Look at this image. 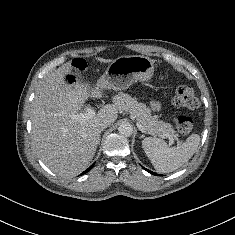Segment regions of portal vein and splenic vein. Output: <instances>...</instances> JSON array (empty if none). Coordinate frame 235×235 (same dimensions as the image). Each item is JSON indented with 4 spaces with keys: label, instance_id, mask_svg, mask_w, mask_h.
I'll list each match as a JSON object with an SVG mask.
<instances>
[{
    "label": "portal vein and splenic vein",
    "instance_id": "1",
    "mask_svg": "<svg viewBox=\"0 0 235 235\" xmlns=\"http://www.w3.org/2000/svg\"><path fill=\"white\" fill-rule=\"evenodd\" d=\"M95 115V110L91 107H88L85 109L84 112L80 113V114H74L72 115V119L79 121V122H83L91 117H93ZM136 125L138 127V129L142 132H146L145 128L137 121ZM165 137H167L169 139V144L173 145L174 144V139L171 135L166 134ZM177 144H181L180 141H177Z\"/></svg>",
    "mask_w": 235,
    "mask_h": 235
}]
</instances>
